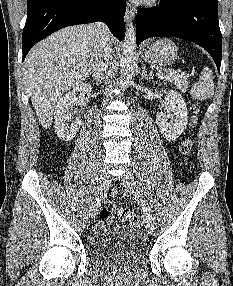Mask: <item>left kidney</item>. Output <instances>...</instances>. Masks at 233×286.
Instances as JSON below:
<instances>
[{
	"label": "left kidney",
	"instance_id": "obj_1",
	"mask_svg": "<svg viewBox=\"0 0 233 286\" xmlns=\"http://www.w3.org/2000/svg\"><path fill=\"white\" fill-rule=\"evenodd\" d=\"M165 109L166 113L157 114L156 123L166 140L175 141L188 124V111L182 95L176 91L167 93ZM169 119L171 122H168Z\"/></svg>",
	"mask_w": 233,
	"mask_h": 286
}]
</instances>
